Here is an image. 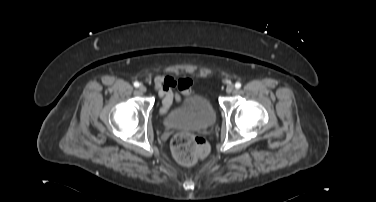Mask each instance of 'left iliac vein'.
<instances>
[{
  "label": "left iliac vein",
  "instance_id": "4c4485c4",
  "mask_svg": "<svg viewBox=\"0 0 376 202\" xmlns=\"http://www.w3.org/2000/svg\"><path fill=\"white\" fill-rule=\"evenodd\" d=\"M234 91V86L233 85H228L226 88L227 93H232Z\"/></svg>",
  "mask_w": 376,
  "mask_h": 202
}]
</instances>
